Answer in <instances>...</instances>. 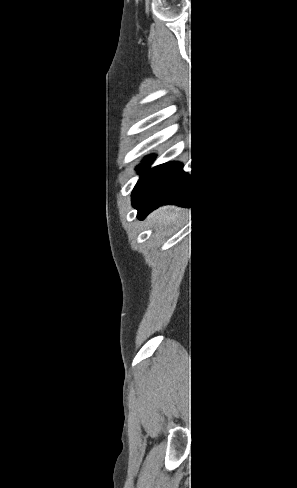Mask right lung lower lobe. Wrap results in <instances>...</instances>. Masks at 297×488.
Returning <instances> with one entry per match:
<instances>
[{
    "label": "right lung lower lobe",
    "instance_id": "1",
    "mask_svg": "<svg viewBox=\"0 0 297 488\" xmlns=\"http://www.w3.org/2000/svg\"><path fill=\"white\" fill-rule=\"evenodd\" d=\"M189 174L179 162H170L149 170L132 193V205L143 219L159 205L177 204L190 207L193 186ZM192 193V196H191Z\"/></svg>",
    "mask_w": 297,
    "mask_h": 488
}]
</instances>
